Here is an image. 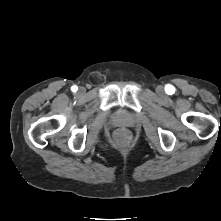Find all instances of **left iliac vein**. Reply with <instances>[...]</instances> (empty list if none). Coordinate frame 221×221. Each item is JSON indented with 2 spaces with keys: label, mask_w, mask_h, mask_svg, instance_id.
<instances>
[{
  "label": "left iliac vein",
  "mask_w": 221,
  "mask_h": 221,
  "mask_svg": "<svg viewBox=\"0 0 221 221\" xmlns=\"http://www.w3.org/2000/svg\"><path fill=\"white\" fill-rule=\"evenodd\" d=\"M156 92L159 94V95H163L164 93V88L162 86H158L156 88Z\"/></svg>",
  "instance_id": "obj_1"
}]
</instances>
